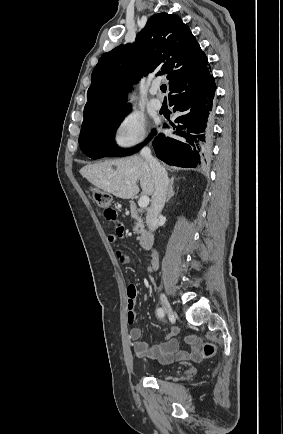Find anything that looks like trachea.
Here are the masks:
<instances>
[{"label": "trachea", "mask_w": 283, "mask_h": 434, "mask_svg": "<svg viewBox=\"0 0 283 434\" xmlns=\"http://www.w3.org/2000/svg\"><path fill=\"white\" fill-rule=\"evenodd\" d=\"M166 89H167L166 85L163 84V85L161 86V91H162V92H166Z\"/></svg>", "instance_id": "3493384b"}]
</instances>
